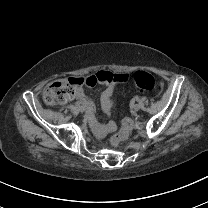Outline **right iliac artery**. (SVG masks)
I'll list each match as a JSON object with an SVG mask.
<instances>
[{"instance_id":"right-iliac-artery-1","label":"right iliac artery","mask_w":208,"mask_h":208,"mask_svg":"<svg viewBox=\"0 0 208 208\" xmlns=\"http://www.w3.org/2000/svg\"><path fill=\"white\" fill-rule=\"evenodd\" d=\"M75 104H76V106L81 107V106H80V105H81L80 102L77 101Z\"/></svg>"}]
</instances>
